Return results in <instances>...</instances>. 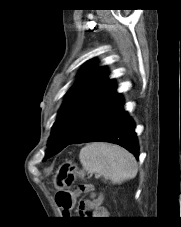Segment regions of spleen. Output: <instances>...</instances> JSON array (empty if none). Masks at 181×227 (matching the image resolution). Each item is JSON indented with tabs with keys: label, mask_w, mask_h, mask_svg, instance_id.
<instances>
[{
	"label": "spleen",
	"mask_w": 181,
	"mask_h": 227,
	"mask_svg": "<svg viewBox=\"0 0 181 227\" xmlns=\"http://www.w3.org/2000/svg\"><path fill=\"white\" fill-rule=\"evenodd\" d=\"M83 169L120 184L133 179L138 171L134 156L124 148L103 142L84 146L79 154Z\"/></svg>",
	"instance_id": "1"
}]
</instances>
